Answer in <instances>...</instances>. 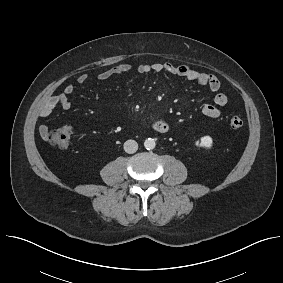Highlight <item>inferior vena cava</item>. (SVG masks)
<instances>
[{
    "mask_svg": "<svg viewBox=\"0 0 283 283\" xmlns=\"http://www.w3.org/2000/svg\"><path fill=\"white\" fill-rule=\"evenodd\" d=\"M138 149V143L135 140H127L124 143V150L128 154H133L137 151Z\"/></svg>",
    "mask_w": 283,
    "mask_h": 283,
    "instance_id": "602c4592",
    "label": "inferior vena cava"
}]
</instances>
